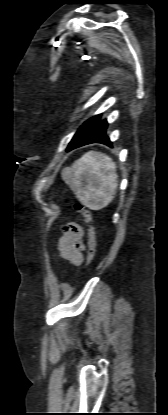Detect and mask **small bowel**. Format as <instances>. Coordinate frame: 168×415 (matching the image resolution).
<instances>
[{
    "instance_id": "obj_1",
    "label": "small bowel",
    "mask_w": 168,
    "mask_h": 415,
    "mask_svg": "<svg viewBox=\"0 0 168 415\" xmlns=\"http://www.w3.org/2000/svg\"><path fill=\"white\" fill-rule=\"evenodd\" d=\"M64 231L57 244L59 255L63 260L79 265L83 259L82 251L85 249L82 230L75 224H68L64 227Z\"/></svg>"
}]
</instances>
